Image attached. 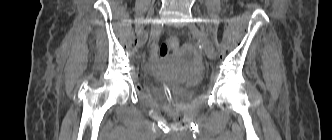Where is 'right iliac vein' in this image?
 <instances>
[{"mask_svg":"<svg viewBox=\"0 0 332 140\" xmlns=\"http://www.w3.org/2000/svg\"><path fill=\"white\" fill-rule=\"evenodd\" d=\"M157 20H158L157 18H154V19H153V23H156V22H157Z\"/></svg>","mask_w":332,"mask_h":140,"instance_id":"63e3f726","label":"right iliac vein"}]
</instances>
